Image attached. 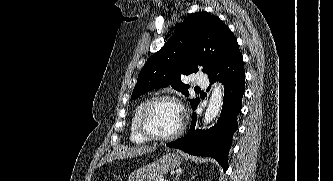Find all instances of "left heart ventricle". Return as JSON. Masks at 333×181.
<instances>
[{
  "label": "left heart ventricle",
  "instance_id": "obj_1",
  "mask_svg": "<svg viewBox=\"0 0 333 181\" xmlns=\"http://www.w3.org/2000/svg\"><path fill=\"white\" fill-rule=\"evenodd\" d=\"M181 120L180 108L170 101L155 103L145 117L147 128L156 135H167L176 131Z\"/></svg>",
  "mask_w": 333,
  "mask_h": 181
}]
</instances>
